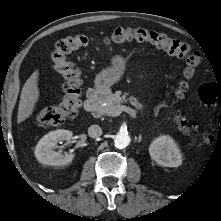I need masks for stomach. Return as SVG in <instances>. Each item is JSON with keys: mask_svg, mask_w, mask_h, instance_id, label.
Returning a JSON list of instances; mask_svg holds the SVG:
<instances>
[{"mask_svg": "<svg viewBox=\"0 0 221 221\" xmlns=\"http://www.w3.org/2000/svg\"><path fill=\"white\" fill-rule=\"evenodd\" d=\"M111 63V67L102 70L95 78V87L100 91H107L123 75L125 69L124 59L121 56H114Z\"/></svg>", "mask_w": 221, "mask_h": 221, "instance_id": "obj_1", "label": "stomach"}]
</instances>
